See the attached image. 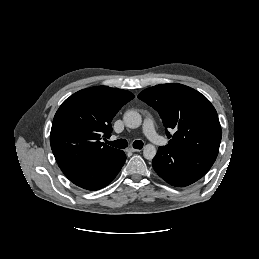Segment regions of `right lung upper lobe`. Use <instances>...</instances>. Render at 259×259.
<instances>
[{"label": "right lung upper lobe", "mask_w": 259, "mask_h": 259, "mask_svg": "<svg viewBox=\"0 0 259 259\" xmlns=\"http://www.w3.org/2000/svg\"><path fill=\"white\" fill-rule=\"evenodd\" d=\"M133 98L129 91L107 86L83 89L67 98L54 116L50 133L61 170L83 167L117 152L101 139L111 136L113 117Z\"/></svg>", "instance_id": "right-lung-upper-lobe-1"}]
</instances>
